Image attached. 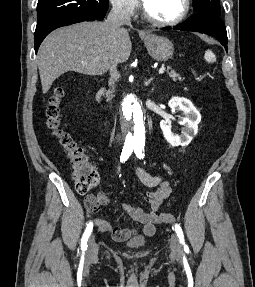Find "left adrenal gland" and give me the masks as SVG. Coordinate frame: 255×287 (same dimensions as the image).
Wrapping results in <instances>:
<instances>
[{"instance_id": "left-adrenal-gland-1", "label": "left adrenal gland", "mask_w": 255, "mask_h": 287, "mask_svg": "<svg viewBox=\"0 0 255 287\" xmlns=\"http://www.w3.org/2000/svg\"><path fill=\"white\" fill-rule=\"evenodd\" d=\"M153 78H150V80H147V82H145V86H148V84H151Z\"/></svg>"}]
</instances>
